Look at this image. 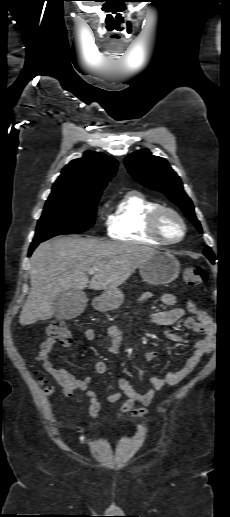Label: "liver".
Instances as JSON below:
<instances>
[{"label":"liver","instance_id":"liver-1","mask_svg":"<svg viewBox=\"0 0 230 517\" xmlns=\"http://www.w3.org/2000/svg\"><path fill=\"white\" fill-rule=\"evenodd\" d=\"M157 251L131 243L94 238L57 237L41 243L31 256V291L19 316L21 325L54 315V299L62 292L115 289ZM97 271L89 280L86 272Z\"/></svg>","mask_w":230,"mask_h":517}]
</instances>
